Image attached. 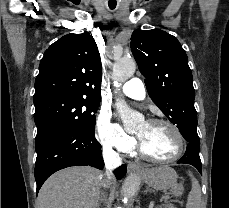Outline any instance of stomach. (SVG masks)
<instances>
[{"label": "stomach", "mask_w": 229, "mask_h": 208, "mask_svg": "<svg viewBox=\"0 0 229 208\" xmlns=\"http://www.w3.org/2000/svg\"><path fill=\"white\" fill-rule=\"evenodd\" d=\"M144 184L154 190H170L174 196H182L183 186L177 184V174L169 166H157V168H143L138 172Z\"/></svg>", "instance_id": "obj_1"}]
</instances>
